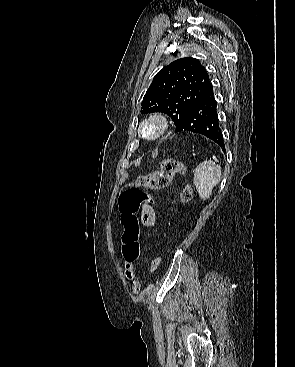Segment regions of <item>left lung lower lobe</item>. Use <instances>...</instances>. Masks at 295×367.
Instances as JSON below:
<instances>
[{"label": "left lung lower lobe", "instance_id": "obj_1", "mask_svg": "<svg viewBox=\"0 0 295 367\" xmlns=\"http://www.w3.org/2000/svg\"><path fill=\"white\" fill-rule=\"evenodd\" d=\"M189 131L206 136L217 143L225 152V144L220 128L217 102L213 86L209 82L194 104L187 111L185 118L175 132Z\"/></svg>", "mask_w": 295, "mask_h": 367}]
</instances>
